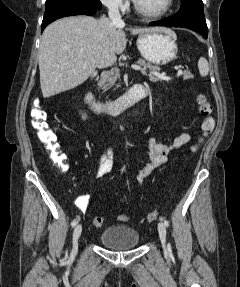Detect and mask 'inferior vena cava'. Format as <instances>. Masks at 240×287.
Here are the masks:
<instances>
[{"mask_svg": "<svg viewBox=\"0 0 240 287\" xmlns=\"http://www.w3.org/2000/svg\"><path fill=\"white\" fill-rule=\"evenodd\" d=\"M108 15L111 21H113L114 23H121L122 19H121V15L119 12V4H118V0H112L108 6Z\"/></svg>", "mask_w": 240, "mask_h": 287, "instance_id": "obj_1", "label": "inferior vena cava"}]
</instances>
